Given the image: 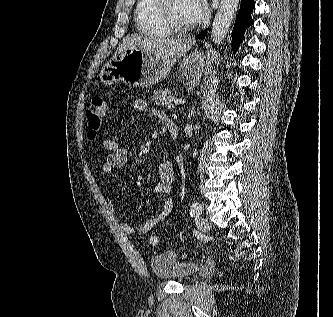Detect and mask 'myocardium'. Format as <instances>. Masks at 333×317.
<instances>
[{"instance_id": "obj_1", "label": "myocardium", "mask_w": 333, "mask_h": 317, "mask_svg": "<svg viewBox=\"0 0 333 317\" xmlns=\"http://www.w3.org/2000/svg\"><path fill=\"white\" fill-rule=\"evenodd\" d=\"M174 0H156V13L161 24L171 33L176 35H188L195 30V25L181 27L172 18V3Z\"/></svg>"}]
</instances>
